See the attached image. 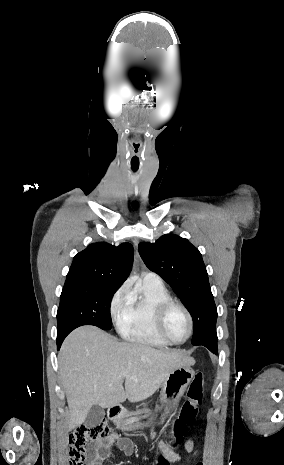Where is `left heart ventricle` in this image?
Wrapping results in <instances>:
<instances>
[{
	"instance_id": "left-heart-ventricle-1",
	"label": "left heart ventricle",
	"mask_w": 284,
	"mask_h": 465,
	"mask_svg": "<svg viewBox=\"0 0 284 465\" xmlns=\"http://www.w3.org/2000/svg\"><path fill=\"white\" fill-rule=\"evenodd\" d=\"M189 331V321L185 312L178 307L173 308L165 322V332L173 341L183 340Z\"/></svg>"
}]
</instances>
